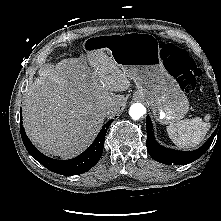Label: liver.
Instances as JSON below:
<instances>
[{"mask_svg": "<svg viewBox=\"0 0 221 221\" xmlns=\"http://www.w3.org/2000/svg\"><path fill=\"white\" fill-rule=\"evenodd\" d=\"M38 73L24 96V128L43 153L64 159L92 143L104 123V108L126 103L114 92L130 87L128 76L103 49L45 65Z\"/></svg>", "mask_w": 221, "mask_h": 221, "instance_id": "6515ba94", "label": "liver"}]
</instances>
